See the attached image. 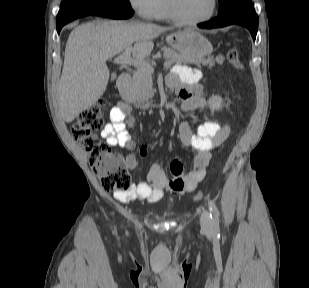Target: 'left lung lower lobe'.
Returning <instances> with one entry per match:
<instances>
[{
  "label": "left lung lower lobe",
  "instance_id": "0a47b994",
  "mask_svg": "<svg viewBox=\"0 0 309 288\" xmlns=\"http://www.w3.org/2000/svg\"><path fill=\"white\" fill-rule=\"evenodd\" d=\"M231 24H238L248 28L253 40L255 41L258 29V16L254 10L253 4L239 7L228 14L218 16L211 21L198 24V27L212 29Z\"/></svg>",
  "mask_w": 309,
  "mask_h": 288
}]
</instances>
